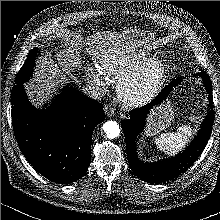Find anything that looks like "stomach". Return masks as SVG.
<instances>
[{"instance_id":"obj_1","label":"stomach","mask_w":220,"mask_h":220,"mask_svg":"<svg viewBox=\"0 0 220 220\" xmlns=\"http://www.w3.org/2000/svg\"><path fill=\"white\" fill-rule=\"evenodd\" d=\"M128 35L133 36L131 40L135 44L143 45L144 47H151L153 44L152 32H140L132 30ZM174 118V110L172 105H166L155 110L149 119V134L154 135L169 127Z\"/></svg>"}]
</instances>
